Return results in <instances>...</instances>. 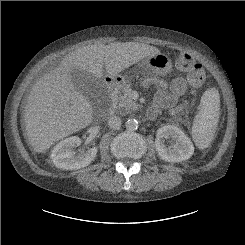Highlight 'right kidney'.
I'll list each match as a JSON object with an SVG mask.
<instances>
[{"label": "right kidney", "mask_w": 245, "mask_h": 245, "mask_svg": "<svg viewBox=\"0 0 245 245\" xmlns=\"http://www.w3.org/2000/svg\"><path fill=\"white\" fill-rule=\"evenodd\" d=\"M80 143L81 140L77 136L60 141L51 152L54 165L66 170H76L88 166L96 157L97 147L76 153L73 149Z\"/></svg>", "instance_id": "obj_1"}]
</instances>
